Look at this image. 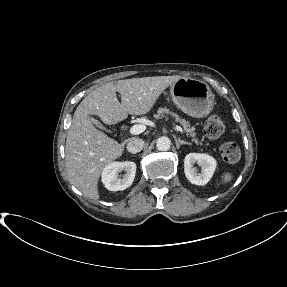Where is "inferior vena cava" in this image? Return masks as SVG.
<instances>
[{
	"instance_id": "1",
	"label": "inferior vena cava",
	"mask_w": 287,
	"mask_h": 287,
	"mask_svg": "<svg viewBox=\"0 0 287 287\" xmlns=\"http://www.w3.org/2000/svg\"><path fill=\"white\" fill-rule=\"evenodd\" d=\"M144 147V141L140 138H133L127 144V151L136 154L140 152Z\"/></svg>"
}]
</instances>
